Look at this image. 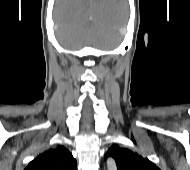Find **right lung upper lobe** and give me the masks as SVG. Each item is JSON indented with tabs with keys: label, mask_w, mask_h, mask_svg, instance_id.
<instances>
[{
	"label": "right lung upper lobe",
	"mask_w": 190,
	"mask_h": 170,
	"mask_svg": "<svg viewBox=\"0 0 190 170\" xmlns=\"http://www.w3.org/2000/svg\"><path fill=\"white\" fill-rule=\"evenodd\" d=\"M24 170H77V162L63 146L40 154Z\"/></svg>",
	"instance_id": "1"
}]
</instances>
